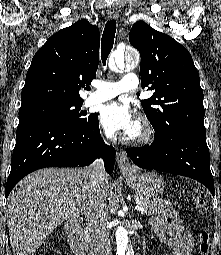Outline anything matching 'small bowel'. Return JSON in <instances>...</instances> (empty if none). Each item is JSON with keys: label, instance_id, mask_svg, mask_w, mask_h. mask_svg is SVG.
<instances>
[{"label": "small bowel", "instance_id": "obj_1", "mask_svg": "<svg viewBox=\"0 0 221 255\" xmlns=\"http://www.w3.org/2000/svg\"><path fill=\"white\" fill-rule=\"evenodd\" d=\"M150 227L157 233L174 255H192L193 238L182 227L181 220L172 209H166L161 215L152 216Z\"/></svg>", "mask_w": 221, "mask_h": 255}]
</instances>
